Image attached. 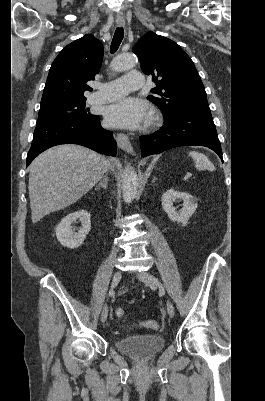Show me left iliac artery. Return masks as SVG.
Returning a JSON list of instances; mask_svg holds the SVG:
<instances>
[{
	"instance_id": "1",
	"label": "left iliac artery",
	"mask_w": 265,
	"mask_h": 401,
	"mask_svg": "<svg viewBox=\"0 0 265 401\" xmlns=\"http://www.w3.org/2000/svg\"><path fill=\"white\" fill-rule=\"evenodd\" d=\"M156 282H158V279H155ZM159 283V282H158Z\"/></svg>"
}]
</instances>
